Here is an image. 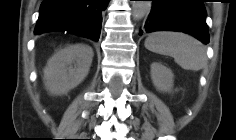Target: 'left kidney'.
<instances>
[{"label":"left kidney","instance_id":"5707ae66","mask_svg":"<svg viewBox=\"0 0 236 140\" xmlns=\"http://www.w3.org/2000/svg\"><path fill=\"white\" fill-rule=\"evenodd\" d=\"M173 73L164 65L153 62L151 64V79L154 86L162 92H170L173 87Z\"/></svg>","mask_w":236,"mask_h":140}]
</instances>
